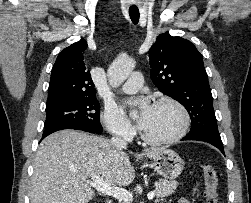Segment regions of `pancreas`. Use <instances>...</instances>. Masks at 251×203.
I'll return each instance as SVG.
<instances>
[{
    "label": "pancreas",
    "mask_w": 251,
    "mask_h": 203,
    "mask_svg": "<svg viewBox=\"0 0 251 203\" xmlns=\"http://www.w3.org/2000/svg\"><path fill=\"white\" fill-rule=\"evenodd\" d=\"M178 185V182L175 180H166L161 179L156 185V196L158 198H163L174 193Z\"/></svg>",
    "instance_id": "pancreas-1"
}]
</instances>
